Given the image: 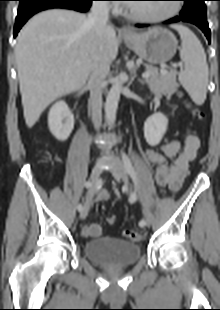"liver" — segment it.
<instances>
[{"instance_id":"1","label":"liver","mask_w":220,"mask_h":310,"mask_svg":"<svg viewBox=\"0 0 220 310\" xmlns=\"http://www.w3.org/2000/svg\"><path fill=\"white\" fill-rule=\"evenodd\" d=\"M111 26L104 34L110 60L118 53ZM95 34L85 14L53 9L35 15L17 37L15 58L26 125L31 128L47 106L81 89L90 75Z\"/></svg>"}]
</instances>
